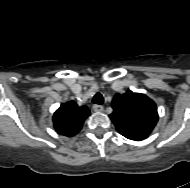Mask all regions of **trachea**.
Wrapping results in <instances>:
<instances>
[{
	"label": "trachea",
	"mask_w": 190,
	"mask_h": 188,
	"mask_svg": "<svg viewBox=\"0 0 190 188\" xmlns=\"http://www.w3.org/2000/svg\"><path fill=\"white\" fill-rule=\"evenodd\" d=\"M92 101H93L94 104L102 105L103 102H104V98H103V96H102L101 93H96V94L94 95Z\"/></svg>",
	"instance_id": "3493384b"
}]
</instances>
